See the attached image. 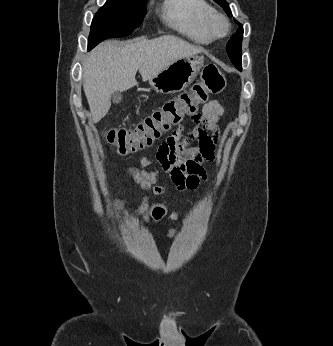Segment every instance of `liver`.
Returning <instances> with one entry per match:
<instances>
[{
  "label": "liver",
  "instance_id": "6515ba94",
  "mask_svg": "<svg viewBox=\"0 0 333 346\" xmlns=\"http://www.w3.org/2000/svg\"><path fill=\"white\" fill-rule=\"evenodd\" d=\"M202 51L171 35L152 40L106 41L98 45L83 63V89L93 122H99L108 113L113 93L137 84V71L147 81L177 60Z\"/></svg>",
  "mask_w": 333,
  "mask_h": 346
}]
</instances>
